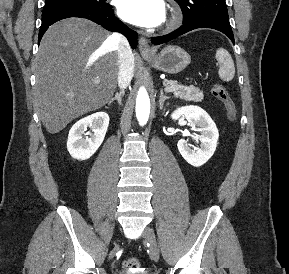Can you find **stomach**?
I'll return each mask as SVG.
<instances>
[{
	"instance_id": "stomach-1",
	"label": "stomach",
	"mask_w": 289,
	"mask_h": 274,
	"mask_svg": "<svg viewBox=\"0 0 289 274\" xmlns=\"http://www.w3.org/2000/svg\"><path fill=\"white\" fill-rule=\"evenodd\" d=\"M153 66L165 73L177 74L183 71L191 61L190 55L181 47L167 46L153 57H146Z\"/></svg>"
}]
</instances>
